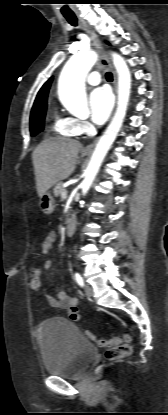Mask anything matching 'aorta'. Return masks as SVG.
Returning a JSON list of instances; mask_svg holds the SVG:
<instances>
[{
  "mask_svg": "<svg viewBox=\"0 0 168 415\" xmlns=\"http://www.w3.org/2000/svg\"><path fill=\"white\" fill-rule=\"evenodd\" d=\"M113 64L118 73V101L115 115L100 138L91 156L81 184L82 194L85 195L95 179L101 163L110 146L122 127L130 97L131 75L129 68L120 55L112 53ZM97 60L94 51H86L73 55L59 77L58 95L62 105L71 113H78L87 109L85 92V78Z\"/></svg>",
  "mask_w": 168,
  "mask_h": 415,
  "instance_id": "762f6f07",
  "label": "aorta"
}]
</instances>
